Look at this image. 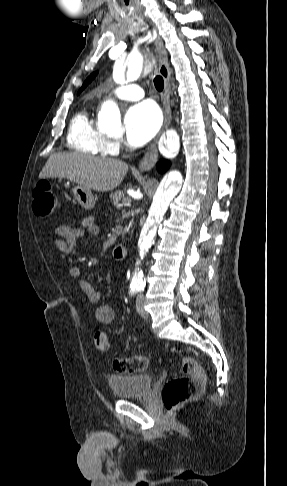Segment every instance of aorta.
<instances>
[{
	"label": "aorta",
	"instance_id": "obj_1",
	"mask_svg": "<svg viewBox=\"0 0 287 486\" xmlns=\"http://www.w3.org/2000/svg\"><path fill=\"white\" fill-rule=\"evenodd\" d=\"M142 68V62L130 61L126 71V66L122 62L117 61L114 66V71L118 77L126 79V82H131L139 77ZM98 124L100 127L106 129L120 128L121 118L119 108L115 104L105 103L99 112ZM164 145L169 153H178L180 138L175 129H169L166 132ZM179 188L180 186L175 180L169 179L159 188L157 197L151 205L146 222L140 232L138 248L141 256L147 253L152 246L156 237L157 228L163 219L167 206L170 200L177 194ZM144 283L142 273L139 271L135 272L132 278V284L135 286H143Z\"/></svg>",
	"mask_w": 287,
	"mask_h": 486
}]
</instances>
